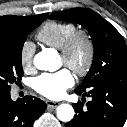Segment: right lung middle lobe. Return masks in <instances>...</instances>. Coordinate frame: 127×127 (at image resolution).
<instances>
[{
  "instance_id": "dd1d6c3e",
  "label": "right lung middle lobe",
  "mask_w": 127,
  "mask_h": 127,
  "mask_svg": "<svg viewBox=\"0 0 127 127\" xmlns=\"http://www.w3.org/2000/svg\"><path fill=\"white\" fill-rule=\"evenodd\" d=\"M45 20L44 16L10 29H0V94L23 75L22 48L28 34Z\"/></svg>"
}]
</instances>
